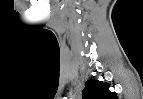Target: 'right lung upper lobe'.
<instances>
[{
    "label": "right lung upper lobe",
    "mask_w": 143,
    "mask_h": 99,
    "mask_svg": "<svg viewBox=\"0 0 143 99\" xmlns=\"http://www.w3.org/2000/svg\"><path fill=\"white\" fill-rule=\"evenodd\" d=\"M83 99H117L115 92L109 91V84L90 79L82 91Z\"/></svg>",
    "instance_id": "obj_1"
}]
</instances>
